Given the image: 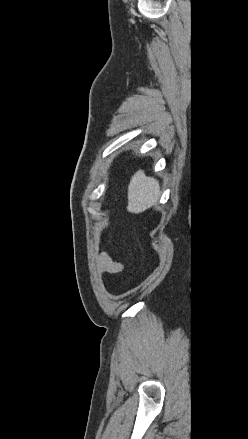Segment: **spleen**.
<instances>
[{
  "instance_id": "3e777b00",
  "label": "spleen",
  "mask_w": 248,
  "mask_h": 439,
  "mask_svg": "<svg viewBox=\"0 0 248 439\" xmlns=\"http://www.w3.org/2000/svg\"><path fill=\"white\" fill-rule=\"evenodd\" d=\"M159 197V182L146 177L144 171H137L128 186V210L136 214L141 213L156 205Z\"/></svg>"
}]
</instances>
